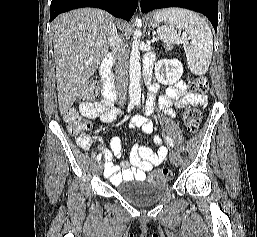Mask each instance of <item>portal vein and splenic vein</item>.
Here are the masks:
<instances>
[{
	"label": "portal vein and splenic vein",
	"mask_w": 257,
	"mask_h": 237,
	"mask_svg": "<svg viewBox=\"0 0 257 237\" xmlns=\"http://www.w3.org/2000/svg\"><path fill=\"white\" fill-rule=\"evenodd\" d=\"M155 41H157V38H153L151 42L154 43Z\"/></svg>",
	"instance_id": "obj_1"
}]
</instances>
